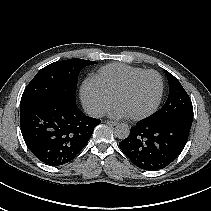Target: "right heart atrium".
I'll use <instances>...</instances> for the list:
<instances>
[{
	"label": "right heart atrium",
	"instance_id": "1",
	"mask_svg": "<svg viewBox=\"0 0 211 211\" xmlns=\"http://www.w3.org/2000/svg\"><path fill=\"white\" fill-rule=\"evenodd\" d=\"M81 99L85 108L93 115H101L111 102L112 95L93 78L85 80L81 87Z\"/></svg>",
	"mask_w": 211,
	"mask_h": 211
}]
</instances>
